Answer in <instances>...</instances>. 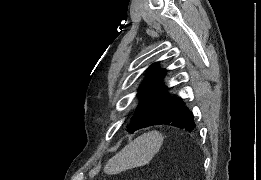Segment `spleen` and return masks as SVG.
I'll list each match as a JSON object with an SVG mask.
<instances>
[{"label":"spleen","mask_w":261,"mask_h":180,"mask_svg":"<svg viewBox=\"0 0 261 180\" xmlns=\"http://www.w3.org/2000/svg\"><path fill=\"white\" fill-rule=\"evenodd\" d=\"M162 144L163 136L157 130L138 136L109 160L105 174L112 176V174H121V172L132 170V168L146 166L159 152Z\"/></svg>","instance_id":"spleen-1"}]
</instances>
